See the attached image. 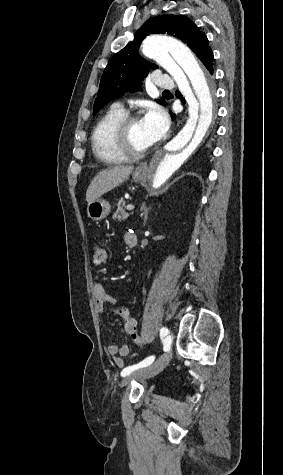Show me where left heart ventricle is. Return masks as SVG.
<instances>
[{
	"mask_svg": "<svg viewBox=\"0 0 283 475\" xmlns=\"http://www.w3.org/2000/svg\"><path fill=\"white\" fill-rule=\"evenodd\" d=\"M147 129L143 125L141 119H137L131 127L129 135V144H121L113 142L105 147V152L112 155H130L132 152L145 151L150 148L153 143L147 137Z\"/></svg>",
	"mask_w": 283,
	"mask_h": 475,
	"instance_id": "left-heart-ventricle-1",
	"label": "left heart ventricle"
}]
</instances>
